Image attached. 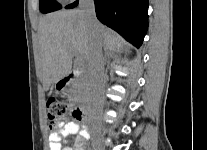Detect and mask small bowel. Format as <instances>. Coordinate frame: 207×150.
<instances>
[{
    "mask_svg": "<svg viewBox=\"0 0 207 150\" xmlns=\"http://www.w3.org/2000/svg\"><path fill=\"white\" fill-rule=\"evenodd\" d=\"M56 131H52L49 135L50 150H85L87 141L90 139V133L83 125H79L73 121L67 123L57 122ZM75 136L72 146L67 145V138Z\"/></svg>",
    "mask_w": 207,
    "mask_h": 150,
    "instance_id": "small-bowel-1",
    "label": "small bowel"
}]
</instances>
